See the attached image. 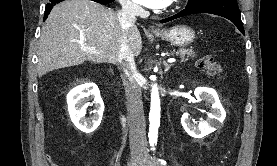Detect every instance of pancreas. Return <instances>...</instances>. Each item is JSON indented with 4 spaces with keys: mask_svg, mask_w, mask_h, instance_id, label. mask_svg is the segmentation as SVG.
<instances>
[{
    "mask_svg": "<svg viewBox=\"0 0 277 166\" xmlns=\"http://www.w3.org/2000/svg\"><path fill=\"white\" fill-rule=\"evenodd\" d=\"M171 55L177 54L180 55L184 60H188L189 57L194 56V51L192 49H180L178 51H171L170 52ZM186 57V58H185Z\"/></svg>",
    "mask_w": 277,
    "mask_h": 166,
    "instance_id": "obj_1",
    "label": "pancreas"
}]
</instances>
